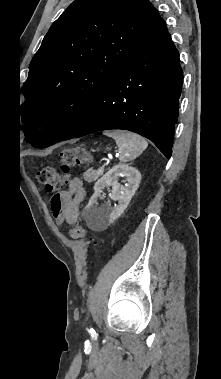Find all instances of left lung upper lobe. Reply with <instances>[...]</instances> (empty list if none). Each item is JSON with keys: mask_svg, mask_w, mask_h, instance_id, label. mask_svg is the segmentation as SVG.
Listing matches in <instances>:
<instances>
[{"mask_svg": "<svg viewBox=\"0 0 221 379\" xmlns=\"http://www.w3.org/2000/svg\"><path fill=\"white\" fill-rule=\"evenodd\" d=\"M160 19L148 0H75L50 27L22 87L27 141L42 148L62 140Z\"/></svg>", "mask_w": 221, "mask_h": 379, "instance_id": "obj_1", "label": "left lung upper lobe"}]
</instances>
